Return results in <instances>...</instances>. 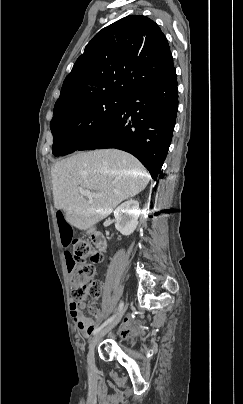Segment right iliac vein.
I'll return each instance as SVG.
<instances>
[{
    "mask_svg": "<svg viewBox=\"0 0 243 404\" xmlns=\"http://www.w3.org/2000/svg\"><path fill=\"white\" fill-rule=\"evenodd\" d=\"M128 304L125 305L123 310L118 314V316L111 322L109 323L104 329H102L100 332H98L93 339L91 340L89 344V351L87 355V362L89 369L92 371L95 368V357H94V350L96 345L99 343V341L109 332L111 331L121 320L122 316L124 315L125 311L127 310Z\"/></svg>",
    "mask_w": 243,
    "mask_h": 404,
    "instance_id": "63e3f726",
    "label": "right iliac vein"
}]
</instances>
